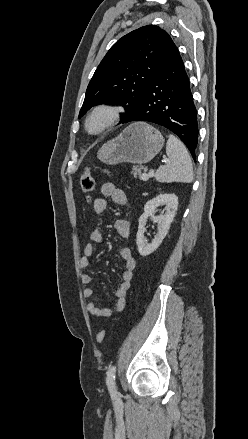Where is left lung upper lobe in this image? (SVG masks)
I'll return each instance as SVG.
<instances>
[{"label":"left lung upper lobe","mask_w":248,"mask_h":439,"mask_svg":"<svg viewBox=\"0 0 248 439\" xmlns=\"http://www.w3.org/2000/svg\"><path fill=\"white\" fill-rule=\"evenodd\" d=\"M176 45L155 25L143 26L119 39L97 67L79 113L92 106L117 103L125 108L123 123L137 108L145 90L169 59Z\"/></svg>","instance_id":"1"}]
</instances>
